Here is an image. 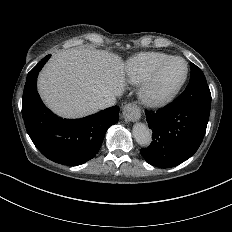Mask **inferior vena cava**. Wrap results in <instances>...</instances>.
<instances>
[{
	"mask_svg": "<svg viewBox=\"0 0 232 232\" xmlns=\"http://www.w3.org/2000/svg\"><path fill=\"white\" fill-rule=\"evenodd\" d=\"M116 103H117L116 96L115 95H109V96L103 98L102 100L93 103V106H94V108L102 109V108H105V107L113 106Z\"/></svg>",
	"mask_w": 232,
	"mask_h": 232,
	"instance_id": "1",
	"label": "inferior vena cava"
}]
</instances>
